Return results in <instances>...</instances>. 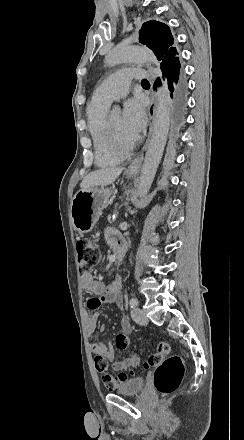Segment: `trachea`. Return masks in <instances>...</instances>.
<instances>
[{
    "label": "trachea",
    "instance_id": "obj_1",
    "mask_svg": "<svg viewBox=\"0 0 244 440\" xmlns=\"http://www.w3.org/2000/svg\"><path fill=\"white\" fill-rule=\"evenodd\" d=\"M141 83H149V82H148V80H146V79L144 78V80H142Z\"/></svg>",
    "mask_w": 244,
    "mask_h": 440
}]
</instances>
